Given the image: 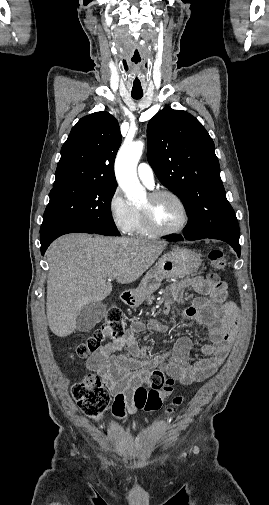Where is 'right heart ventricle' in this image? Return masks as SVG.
I'll return each mask as SVG.
<instances>
[{
    "mask_svg": "<svg viewBox=\"0 0 269 505\" xmlns=\"http://www.w3.org/2000/svg\"><path fill=\"white\" fill-rule=\"evenodd\" d=\"M133 210L134 216L129 233L137 236H146L150 234L143 225L139 208L133 207Z\"/></svg>",
    "mask_w": 269,
    "mask_h": 505,
    "instance_id": "1",
    "label": "right heart ventricle"
}]
</instances>
